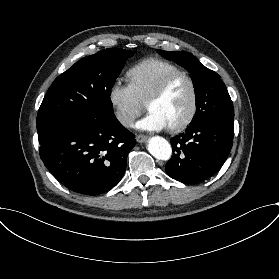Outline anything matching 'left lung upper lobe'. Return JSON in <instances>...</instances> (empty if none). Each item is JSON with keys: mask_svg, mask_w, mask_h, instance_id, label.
Masks as SVG:
<instances>
[{"mask_svg": "<svg viewBox=\"0 0 279 279\" xmlns=\"http://www.w3.org/2000/svg\"><path fill=\"white\" fill-rule=\"evenodd\" d=\"M157 52L190 72L196 95V114L190 125L205 119L234 121L233 103L220 76L203 66L199 60L187 52H170L157 49Z\"/></svg>", "mask_w": 279, "mask_h": 279, "instance_id": "1", "label": "left lung upper lobe"}]
</instances>
